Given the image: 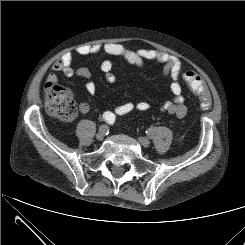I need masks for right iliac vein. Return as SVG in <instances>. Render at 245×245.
<instances>
[{"instance_id":"1","label":"right iliac vein","mask_w":245,"mask_h":245,"mask_svg":"<svg viewBox=\"0 0 245 245\" xmlns=\"http://www.w3.org/2000/svg\"><path fill=\"white\" fill-rule=\"evenodd\" d=\"M104 137H105V133L100 128L99 132L96 135V138H97V140L102 141L104 139Z\"/></svg>"}]
</instances>
